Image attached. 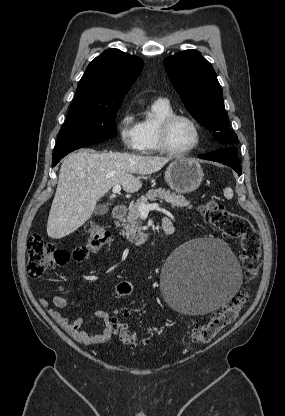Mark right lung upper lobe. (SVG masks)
<instances>
[{
	"mask_svg": "<svg viewBox=\"0 0 285 416\" xmlns=\"http://www.w3.org/2000/svg\"><path fill=\"white\" fill-rule=\"evenodd\" d=\"M143 60L118 49L105 50L87 67L78 83L74 101L104 103L123 100L139 76Z\"/></svg>",
	"mask_w": 285,
	"mask_h": 416,
	"instance_id": "1",
	"label": "right lung upper lobe"
}]
</instances>
